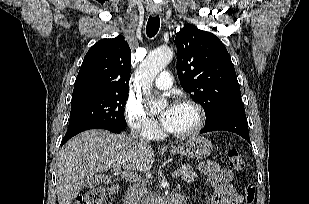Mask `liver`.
I'll return each instance as SVG.
<instances>
[{
	"mask_svg": "<svg viewBox=\"0 0 309 204\" xmlns=\"http://www.w3.org/2000/svg\"><path fill=\"white\" fill-rule=\"evenodd\" d=\"M154 163L150 146L134 143L125 135L89 130L69 140L56 161L59 204H71L83 182L95 173L123 167L131 174L148 171Z\"/></svg>",
	"mask_w": 309,
	"mask_h": 204,
	"instance_id": "liver-1",
	"label": "liver"
}]
</instances>
